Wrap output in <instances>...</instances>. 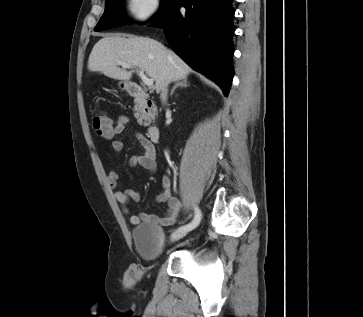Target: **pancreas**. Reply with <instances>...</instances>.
<instances>
[{"label": "pancreas", "instance_id": "pancreas-1", "mask_svg": "<svg viewBox=\"0 0 363 317\" xmlns=\"http://www.w3.org/2000/svg\"><path fill=\"white\" fill-rule=\"evenodd\" d=\"M134 110H135L134 116L137 118L139 124L148 126L151 123V119H154V115L146 113V111L144 110V105L142 104H135Z\"/></svg>", "mask_w": 363, "mask_h": 317}]
</instances>
